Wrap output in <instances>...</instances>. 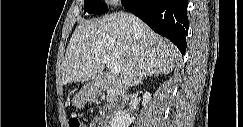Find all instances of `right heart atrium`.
Masks as SVG:
<instances>
[{"label": "right heart atrium", "mask_w": 243, "mask_h": 127, "mask_svg": "<svg viewBox=\"0 0 243 127\" xmlns=\"http://www.w3.org/2000/svg\"><path fill=\"white\" fill-rule=\"evenodd\" d=\"M108 3H110V4H117V3H119V1L118 0H109L108 1Z\"/></svg>", "instance_id": "1"}]
</instances>
